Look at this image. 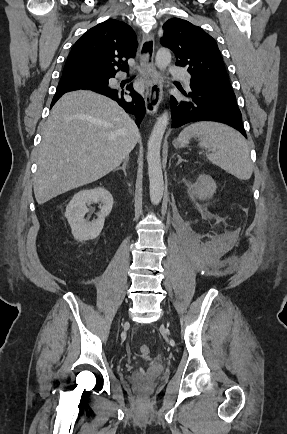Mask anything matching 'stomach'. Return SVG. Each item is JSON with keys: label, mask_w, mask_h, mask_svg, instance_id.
<instances>
[{"label": "stomach", "mask_w": 287, "mask_h": 434, "mask_svg": "<svg viewBox=\"0 0 287 434\" xmlns=\"http://www.w3.org/2000/svg\"><path fill=\"white\" fill-rule=\"evenodd\" d=\"M190 140V136H179L176 140L173 141V145L176 148H183L188 145Z\"/></svg>", "instance_id": "obj_1"}]
</instances>
